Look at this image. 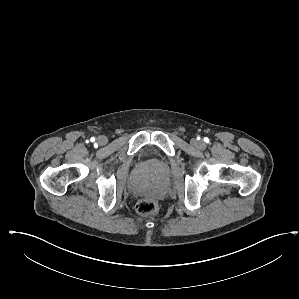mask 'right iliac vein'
Wrapping results in <instances>:
<instances>
[{
  "instance_id": "1",
  "label": "right iliac vein",
  "mask_w": 299,
  "mask_h": 299,
  "mask_svg": "<svg viewBox=\"0 0 299 299\" xmlns=\"http://www.w3.org/2000/svg\"><path fill=\"white\" fill-rule=\"evenodd\" d=\"M97 143L99 144V145H105L106 143H107V137L106 136H104V135H101V136H99L98 138H97Z\"/></svg>"
}]
</instances>
